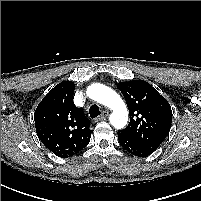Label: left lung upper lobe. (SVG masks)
I'll list each match as a JSON object with an SVG mask.
<instances>
[{
	"instance_id": "1",
	"label": "left lung upper lobe",
	"mask_w": 201,
	"mask_h": 201,
	"mask_svg": "<svg viewBox=\"0 0 201 201\" xmlns=\"http://www.w3.org/2000/svg\"><path fill=\"white\" fill-rule=\"evenodd\" d=\"M117 87L125 97L130 114L129 125L120 132L155 151L171 128L170 104L143 80L120 82Z\"/></svg>"
}]
</instances>
